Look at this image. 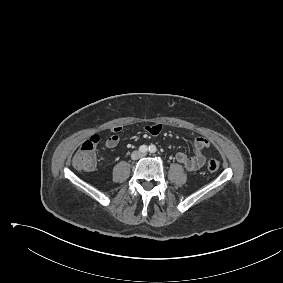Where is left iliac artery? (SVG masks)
Masks as SVG:
<instances>
[{
    "mask_svg": "<svg viewBox=\"0 0 283 283\" xmlns=\"http://www.w3.org/2000/svg\"><path fill=\"white\" fill-rule=\"evenodd\" d=\"M156 151H157V148H156L155 145H150V146H149V152H150V153H155Z\"/></svg>",
    "mask_w": 283,
    "mask_h": 283,
    "instance_id": "obj_1",
    "label": "left iliac artery"
}]
</instances>
